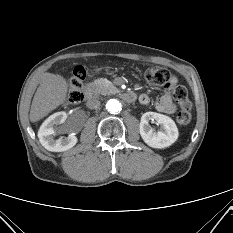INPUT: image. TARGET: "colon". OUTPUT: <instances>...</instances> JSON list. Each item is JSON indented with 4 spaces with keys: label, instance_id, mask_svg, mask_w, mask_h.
I'll use <instances>...</instances> for the list:
<instances>
[{
    "label": "colon",
    "instance_id": "1",
    "mask_svg": "<svg viewBox=\"0 0 233 233\" xmlns=\"http://www.w3.org/2000/svg\"><path fill=\"white\" fill-rule=\"evenodd\" d=\"M86 78L85 69L81 66L76 67L69 78V90L67 94V102L71 105L78 104L83 100V85ZM145 78L150 85L164 86L172 99L180 105L178 114V122L186 126L190 123L191 102L188 98V92L185 86L181 84H173L170 81V73L166 68L153 66L146 70Z\"/></svg>",
    "mask_w": 233,
    "mask_h": 233
}]
</instances>
